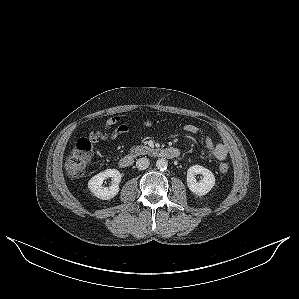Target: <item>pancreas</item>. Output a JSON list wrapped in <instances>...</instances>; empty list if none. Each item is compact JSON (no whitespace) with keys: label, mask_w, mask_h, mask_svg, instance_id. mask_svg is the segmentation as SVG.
<instances>
[{"label":"pancreas","mask_w":299,"mask_h":299,"mask_svg":"<svg viewBox=\"0 0 299 299\" xmlns=\"http://www.w3.org/2000/svg\"><path fill=\"white\" fill-rule=\"evenodd\" d=\"M151 151V148L144 145L133 146L131 148V154H133L134 156L145 155L150 153Z\"/></svg>","instance_id":"1"}]
</instances>
